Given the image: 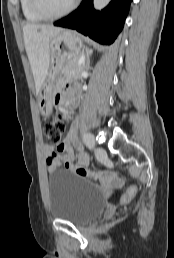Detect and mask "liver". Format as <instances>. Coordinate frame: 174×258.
Masks as SVG:
<instances>
[{
	"label": "liver",
	"instance_id": "1",
	"mask_svg": "<svg viewBox=\"0 0 174 258\" xmlns=\"http://www.w3.org/2000/svg\"><path fill=\"white\" fill-rule=\"evenodd\" d=\"M61 31L62 28L52 25L26 24L23 27L25 49L33 72L37 95L48 75L50 40Z\"/></svg>",
	"mask_w": 174,
	"mask_h": 258
}]
</instances>
